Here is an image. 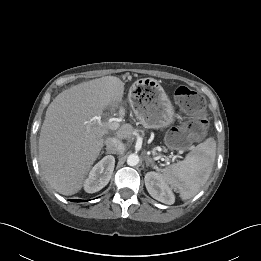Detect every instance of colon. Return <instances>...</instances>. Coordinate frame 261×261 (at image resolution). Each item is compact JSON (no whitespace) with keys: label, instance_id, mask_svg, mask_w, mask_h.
Instances as JSON below:
<instances>
[{"label":"colon","instance_id":"obj_1","mask_svg":"<svg viewBox=\"0 0 261 261\" xmlns=\"http://www.w3.org/2000/svg\"><path fill=\"white\" fill-rule=\"evenodd\" d=\"M174 97L181 110L190 116L183 126L172 130L167 136L170 146L181 147L205 135L207 130L205 101L197 92L186 86L176 88Z\"/></svg>","mask_w":261,"mask_h":261}]
</instances>
